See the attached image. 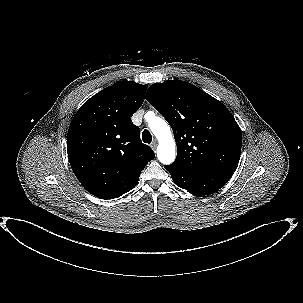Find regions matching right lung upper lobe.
Returning a JSON list of instances; mask_svg holds the SVG:
<instances>
[{"mask_svg": "<svg viewBox=\"0 0 303 303\" xmlns=\"http://www.w3.org/2000/svg\"><path fill=\"white\" fill-rule=\"evenodd\" d=\"M146 90L147 85L116 82L87 100L72 119L69 161L82 186L98 198H117L133 189L155 157L131 121Z\"/></svg>", "mask_w": 303, "mask_h": 303, "instance_id": "1", "label": "right lung upper lobe"}]
</instances>
